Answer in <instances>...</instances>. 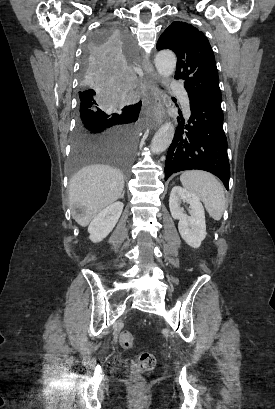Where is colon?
<instances>
[{
	"label": "colon",
	"instance_id": "5ec220e1",
	"mask_svg": "<svg viewBox=\"0 0 275 409\" xmlns=\"http://www.w3.org/2000/svg\"><path fill=\"white\" fill-rule=\"evenodd\" d=\"M118 344L124 349H129L134 346V336L128 331H122L118 336ZM155 365V358L151 353H140L137 358L132 362V375L134 377H140L150 372Z\"/></svg>",
	"mask_w": 275,
	"mask_h": 409
}]
</instances>
